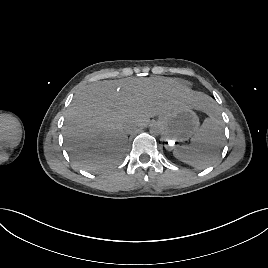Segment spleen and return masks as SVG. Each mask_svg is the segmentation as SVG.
I'll return each mask as SVG.
<instances>
[{
	"label": "spleen",
	"instance_id": "obj_1",
	"mask_svg": "<svg viewBox=\"0 0 268 268\" xmlns=\"http://www.w3.org/2000/svg\"><path fill=\"white\" fill-rule=\"evenodd\" d=\"M209 115L192 136L190 145L174 150L177 159L200 170L216 160L215 153L222 147L223 122L217 113L210 112Z\"/></svg>",
	"mask_w": 268,
	"mask_h": 268
}]
</instances>
